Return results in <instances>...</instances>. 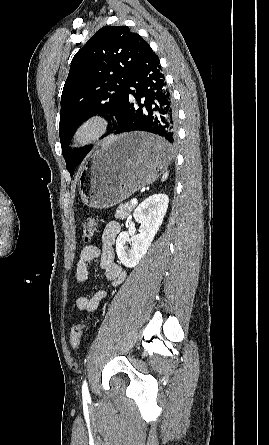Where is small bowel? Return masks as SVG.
I'll return each instance as SVG.
<instances>
[{"mask_svg":"<svg viewBox=\"0 0 269 445\" xmlns=\"http://www.w3.org/2000/svg\"><path fill=\"white\" fill-rule=\"evenodd\" d=\"M119 233V223L111 221L106 224L102 232L101 247L97 245H87L81 250L76 266L75 276L77 282L83 283L87 280L89 274L88 263L97 259L111 287H116L125 280L126 273L123 268L116 263L113 249ZM108 294L109 289L107 287L98 288L90 296L79 297L76 301L77 308L86 313H93Z\"/></svg>","mask_w":269,"mask_h":445,"instance_id":"small-bowel-1","label":"small bowel"}]
</instances>
